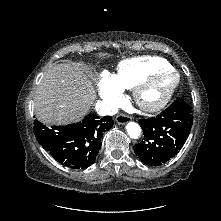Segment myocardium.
I'll list each match as a JSON object with an SVG mask.
<instances>
[{
  "mask_svg": "<svg viewBox=\"0 0 221 221\" xmlns=\"http://www.w3.org/2000/svg\"><path fill=\"white\" fill-rule=\"evenodd\" d=\"M164 79H168L169 85L164 94L154 101L146 99V93L154 87L157 83ZM179 75L173 69L160 70L152 73L141 81L134 89V100L136 104L146 112H157L163 109L174 96L179 86Z\"/></svg>",
  "mask_w": 221,
  "mask_h": 221,
  "instance_id": "f54148a6",
  "label": "myocardium"
}]
</instances>
